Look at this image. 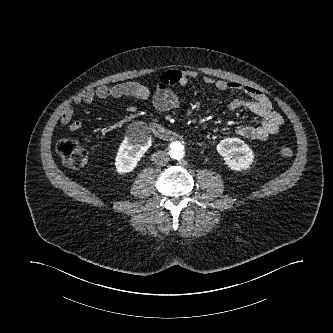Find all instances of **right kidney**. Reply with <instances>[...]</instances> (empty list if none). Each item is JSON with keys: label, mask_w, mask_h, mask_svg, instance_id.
<instances>
[{"label": "right kidney", "mask_w": 333, "mask_h": 333, "mask_svg": "<svg viewBox=\"0 0 333 333\" xmlns=\"http://www.w3.org/2000/svg\"><path fill=\"white\" fill-rule=\"evenodd\" d=\"M150 146L151 137L148 135L140 137L126 136L115 158L117 173L126 174L133 171Z\"/></svg>", "instance_id": "ca27d5eb"}]
</instances>
